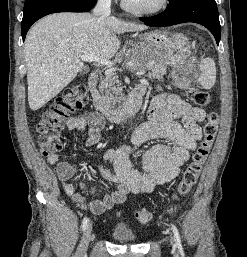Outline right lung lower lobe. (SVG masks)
<instances>
[{
    "label": "right lung lower lobe",
    "mask_w": 247,
    "mask_h": 257,
    "mask_svg": "<svg viewBox=\"0 0 247 257\" xmlns=\"http://www.w3.org/2000/svg\"><path fill=\"white\" fill-rule=\"evenodd\" d=\"M97 0H25L21 22L23 41L26 33L38 19L56 12H86L93 8Z\"/></svg>",
    "instance_id": "right-lung-lower-lobe-1"
}]
</instances>
